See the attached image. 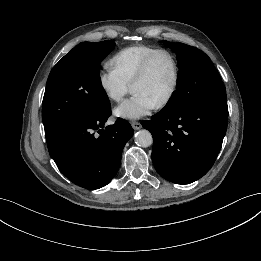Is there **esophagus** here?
Returning <instances> with one entry per match:
<instances>
[{
	"label": "esophagus",
	"instance_id": "obj_1",
	"mask_svg": "<svg viewBox=\"0 0 261 261\" xmlns=\"http://www.w3.org/2000/svg\"><path fill=\"white\" fill-rule=\"evenodd\" d=\"M131 125L134 130H139L142 127L141 123L136 121L131 122Z\"/></svg>",
	"mask_w": 261,
	"mask_h": 261
}]
</instances>
